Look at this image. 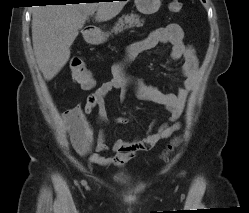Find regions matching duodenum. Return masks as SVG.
Segmentation results:
<instances>
[{
	"label": "duodenum",
	"instance_id": "410a0bca",
	"mask_svg": "<svg viewBox=\"0 0 249 213\" xmlns=\"http://www.w3.org/2000/svg\"><path fill=\"white\" fill-rule=\"evenodd\" d=\"M96 29L90 27L86 30V39L89 43H94L96 41Z\"/></svg>",
	"mask_w": 249,
	"mask_h": 213
}]
</instances>
